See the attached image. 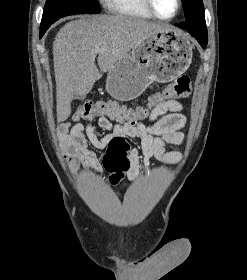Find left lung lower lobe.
Listing matches in <instances>:
<instances>
[{"label":"left lung lower lobe","instance_id":"0a47b994","mask_svg":"<svg viewBox=\"0 0 247 280\" xmlns=\"http://www.w3.org/2000/svg\"><path fill=\"white\" fill-rule=\"evenodd\" d=\"M178 26L182 29H185L181 23ZM188 32L197 39V41L203 48H205L207 46V36H202L192 30H188Z\"/></svg>","mask_w":247,"mask_h":280}]
</instances>
